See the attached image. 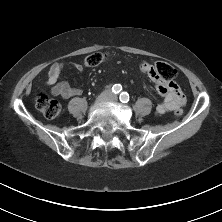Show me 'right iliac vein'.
I'll return each mask as SVG.
<instances>
[{
    "label": "right iliac vein",
    "instance_id": "right-iliac-vein-1",
    "mask_svg": "<svg viewBox=\"0 0 222 222\" xmlns=\"http://www.w3.org/2000/svg\"><path fill=\"white\" fill-rule=\"evenodd\" d=\"M109 94L107 92L102 93L98 98L96 99L95 104L100 105L105 103L108 100Z\"/></svg>",
    "mask_w": 222,
    "mask_h": 222
}]
</instances>
